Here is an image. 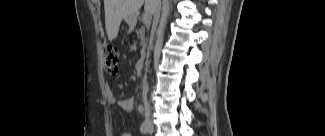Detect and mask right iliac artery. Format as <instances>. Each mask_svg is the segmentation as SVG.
Returning <instances> with one entry per match:
<instances>
[{
  "label": "right iliac artery",
  "mask_w": 325,
  "mask_h": 136,
  "mask_svg": "<svg viewBox=\"0 0 325 136\" xmlns=\"http://www.w3.org/2000/svg\"><path fill=\"white\" fill-rule=\"evenodd\" d=\"M147 130H148V125H147V121H144L141 126H140V131L145 134L147 133Z\"/></svg>",
  "instance_id": "obj_1"
}]
</instances>
